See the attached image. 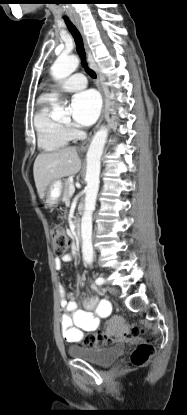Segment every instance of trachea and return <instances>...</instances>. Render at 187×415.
Wrapping results in <instances>:
<instances>
[{
  "mask_svg": "<svg viewBox=\"0 0 187 415\" xmlns=\"http://www.w3.org/2000/svg\"><path fill=\"white\" fill-rule=\"evenodd\" d=\"M65 22H66V25H67L70 33L72 34V36L75 40L76 49H77V52H78V54L81 58L82 65L84 66V68L86 69L87 73L89 74V76L91 78H96L97 77L96 73L93 70L89 69L88 64L86 62V54H85V50H84L83 39H82V36H81L79 30L68 19H66Z\"/></svg>",
  "mask_w": 187,
  "mask_h": 415,
  "instance_id": "obj_1",
  "label": "trachea"
}]
</instances>
